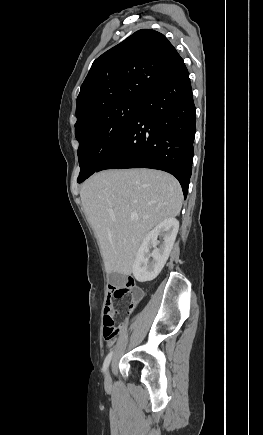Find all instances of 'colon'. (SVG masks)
<instances>
[{
  "mask_svg": "<svg viewBox=\"0 0 263 435\" xmlns=\"http://www.w3.org/2000/svg\"><path fill=\"white\" fill-rule=\"evenodd\" d=\"M135 283L133 280H128L125 285L110 286V296L116 299L122 298L128 291H134L136 295L140 292L134 290ZM119 332V327L115 325L114 311H108L104 314V330L103 334L107 340L113 339Z\"/></svg>",
  "mask_w": 263,
  "mask_h": 435,
  "instance_id": "5ec220e1",
  "label": "colon"
}]
</instances>
